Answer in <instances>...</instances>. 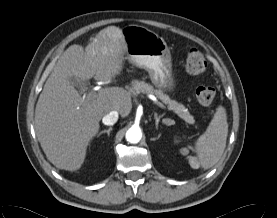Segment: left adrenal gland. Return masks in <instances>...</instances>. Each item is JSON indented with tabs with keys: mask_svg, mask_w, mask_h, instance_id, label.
Returning <instances> with one entry per match:
<instances>
[{
	"mask_svg": "<svg viewBox=\"0 0 277 218\" xmlns=\"http://www.w3.org/2000/svg\"><path fill=\"white\" fill-rule=\"evenodd\" d=\"M164 115H160L158 116L157 113L154 114V118H155V126H156V129H158V124L161 120V118L163 117ZM163 122L165 124H170V120L169 119H163Z\"/></svg>",
	"mask_w": 277,
	"mask_h": 218,
	"instance_id": "a2214340",
	"label": "left adrenal gland"
}]
</instances>
